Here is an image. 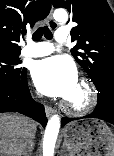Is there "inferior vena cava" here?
<instances>
[{
	"label": "inferior vena cava",
	"instance_id": "obj_1",
	"mask_svg": "<svg viewBox=\"0 0 114 156\" xmlns=\"http://www.w3.org/2000/svg\"><path fill=\"white\" fill-rule=\"evenodd\" d=\"M31 144H32V142L29 144L28 148H30V147H31Z\"/></svg>",
	"mask_w": 114,
	"mask_h": 156
}]
</instances>
